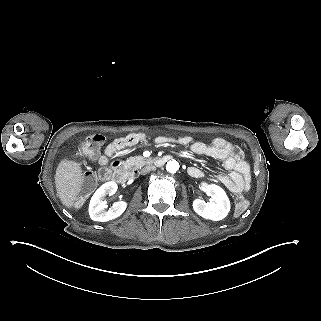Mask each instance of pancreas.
I'll use <instances>...</instances> for the list:
<instances>
[{
    "label": "pancreas",
    "mask_w": 321,
    "mask_h": 321,
    "mask_svg": "<svg viewBox=\"0 0 321 321\" xmlns=\"http://www.w3.org/2000/svg\"><path fill=\"white\" fill-rule=\"evenodd\" d=\"M151 163V160L143 156H134L126 160L127 166L140 168L144 165Z\"/></svg>",
    "instance_id": "obj_1"
}]
</instances>
